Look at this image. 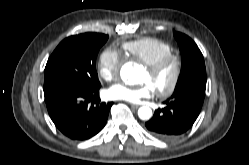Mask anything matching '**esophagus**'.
<instances>
[{"instance_id": "34e87169", "label": "esophagus", "mask_w": 249, "mask_h": 165, "mask_svg": "<svg viewBox=\"0 0 249 165\" xmlns=\"http://www.w3.org/2000/svg\"><path fill=\"white\" fill-rule=\"evenodd\" d=\"M130 106H131L132 108H138V107H139V105H137V104H130Z\"/></svg>"}]
</instances>
